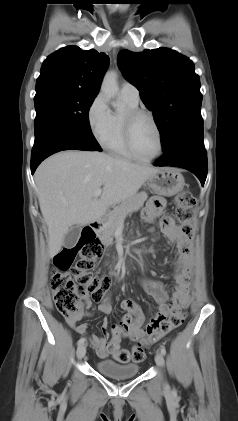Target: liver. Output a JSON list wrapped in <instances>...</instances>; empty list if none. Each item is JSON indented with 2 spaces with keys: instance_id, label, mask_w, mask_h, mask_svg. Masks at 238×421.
Listing matches in <instances>:
<instances>
[{
  "instance_id": "6515ba94",
  "label": "liver",
  "mask_w": 238,
  "mask_h": 421,
  "mask_svg": "<svg viewBox=\"0 0 238 421\" xmlns=\"http://www.w3.org/2000/svg\"><path fill=\"white\" fill-rule=\"evenodd\" d=\"M158 170L98 151H63L42 162L35 183L48 227L49 256L60 251L71 227L99 220L110 206L134 196Z\"/></svg>"
}]
</instances>
